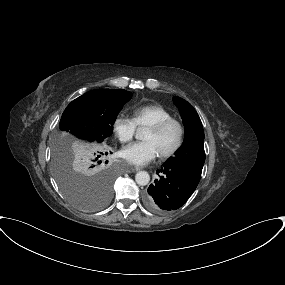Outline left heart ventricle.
Instances as JSON below:
<instances>
[{
    "label": "left heart ventricle",
    "mask_w": 285,
    "mask_h": 285,
    "mask_svg": "<svg viewBox=\"0 0 285 285\" xmlns=\"http://www.w3.org/2000/svg\"><path fill=\"white\" fill-rule=\"evenodd\" d=\"M178 128L175 124L169 125L166 129L161 132H154L148 129L143 139L145 141H151L158 150V153H163L171 149L178 140Z\"/></svg>",
    "instance_id": "1"
}]
</instances>
